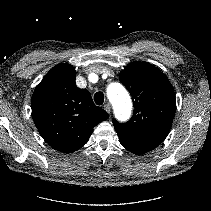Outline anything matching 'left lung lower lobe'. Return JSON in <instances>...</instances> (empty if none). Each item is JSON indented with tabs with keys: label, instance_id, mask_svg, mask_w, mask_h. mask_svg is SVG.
<instances>
[{
	"label": "left lung lower lobe",
	"instance_id": "left-lung-lower-lobe-1",
	"mask_svg": "<svg viewBox=\"0 0 211 211\" xmlns=\"http://www.w3.org/2000/svg\"><path fill=\"white\" fill-rule=\"evenodd\" d=\"M120 143L123 145V147H125L128 151L134 153V154H137V155H141V154H144V153H147L151 150H153L155 147H144V146H135V145H131V144H127V143H124V142H121Z\"/></svg>",
	"mask_w": 211,
	"mask_h": 211
}]
</instances>
